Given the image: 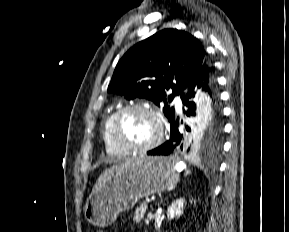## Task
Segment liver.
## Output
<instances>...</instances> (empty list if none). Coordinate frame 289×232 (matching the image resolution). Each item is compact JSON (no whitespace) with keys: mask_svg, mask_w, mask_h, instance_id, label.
<instances>
[{"mask_svg":"<svg viewBox=\"0 0 289 232\" xmlns=\"http://www.w3.org/2000/svg\"><path fill=\"white\" fill-rule=\"evenodd\" d=\"M134 160H135V159L129 160V161L125 162V163H122V164H120V165L113 166V167L105 170V171L99 176L98 180L96 181L95 185L93 186L92 192L100 189V188L104 185V183L107 181V179H109L116 170L123 169V168L127 167V166L130 165Z\"/></svg>","mask_w":289,"mask_h":232,"instance_id":"6515ba94","label":"liver"}]
</instances>
